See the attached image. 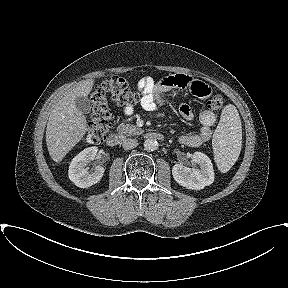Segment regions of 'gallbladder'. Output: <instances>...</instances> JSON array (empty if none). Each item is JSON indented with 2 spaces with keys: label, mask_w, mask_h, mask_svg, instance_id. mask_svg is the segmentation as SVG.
Listing matches in <instances>:
<instances>
[{
  "label": "gallbladder",
  "mask_w": 288,
  "mask_h": 288,
  "mask_svg": "<svg viewBox=\"0 0 288 288\" xmlns=\"http://www.w3.org/2000/svg\"><path fill=\"white\" fill-rule=\"evenodd\" d=\"M75 105L84 114H88L91 110L90 101L87 97L78 96L75 99Z\"/></svg>",
  "instance_id": "1"
}]
</instances>
